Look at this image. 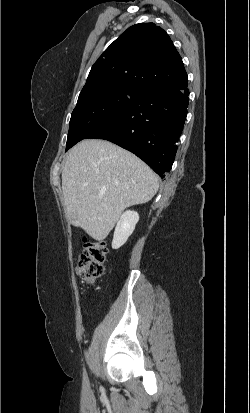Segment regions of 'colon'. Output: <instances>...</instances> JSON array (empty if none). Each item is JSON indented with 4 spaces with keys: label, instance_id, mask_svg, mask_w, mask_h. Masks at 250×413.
<instances>
[{
    "label": "colon",
    "instance_id": "obj_1",
    "mask_svg": "<svg viewBox=\"0 0 250 413\" xmlns=\"http://www.w3.org/2000/svg\"><path fill=\"white\" fill-rule=\"evenodd\" d=\"M107 247L100 241H85L76 266L77 275L85 282L91 283L104 271Z\"/></svg>",
    "mask_w": 250,
    "mask_h": 413
}]
</instances>
